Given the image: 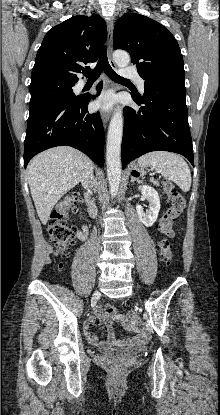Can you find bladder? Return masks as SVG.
Wrapping results in <instances>:
<instances>
[{"label":"bladder","mask_w":220,"mask_h":415,"mask_svg":"<svg viewBox=\"0 0 220 415\" xmlns=\"http://www.w3.org/2000/svg\"><path fill=\"white\" fill-rule=\"evenodd\" d=\"M146 350L145 345L140 346H131L123 348H113L105 351V355L108 358L117 359V360H127L131 359L139 354H142Z\"/></svg>","instance_id":"bladder-1"}]
</instances>
